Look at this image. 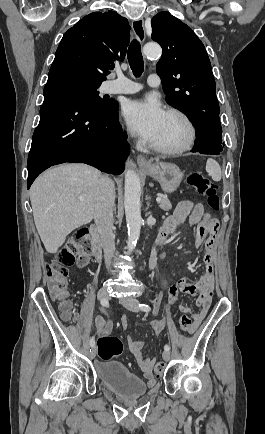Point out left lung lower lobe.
<instances>
[{
    "instance_id": "obj_1",
    "label": "left lung lower lobe",
    "mask_w": 265,
    "mask_h": 434,
    "mask_svg": "<svg viewBox=\"0 0 265 434\" xmlns=\"http://www.w3.org/2000/svg\"><path fill=\"white\" fill-rule=\"evenodd\" d=\"M222 150H223L222 142L216 141L213 138L197 136L192 152L218 155L221 153Z\"/></svg>"
}]
</instances>
